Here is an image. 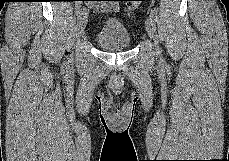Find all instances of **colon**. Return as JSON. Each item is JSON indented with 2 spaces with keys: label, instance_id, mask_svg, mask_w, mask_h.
<instances>
[{
  "label": "colon",
  "instance_id": "colon-1",
  "mask_svg": "<svg viewBox=\"0 0 229 161\" xmlns=\"http://www.w3.org/2000/svg\"><path fill=\"white\" fill-rule=\"evenodd\" d=\"M119 1V0H115ZM140 0H127L124 6V10L126 13H132L134 10L137 9Z\"/></svg>",
  "mask_w": 229,
  "mask_h": 161
}]
</instances>
